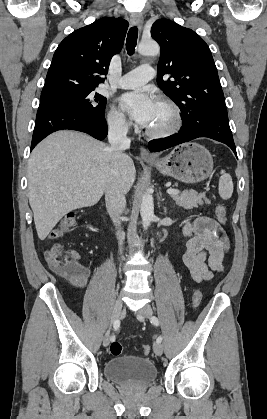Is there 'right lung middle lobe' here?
<instances>
[{"label":"right lung middle lobe","mask_w":267,"mask_h":419,"mask_svg":"<svg viewBox=\"0 0 267 419\" xmlns=\"http://www.w3.org/2000/svg\"><path fill=\"white\" fill-rule=\"evenodd\" d=\"M94 89L67 87L41 93L40 100L49 99L56 101L77 110L87 117L102 118L107 100L99 93H96Z\"/></svg>","instance_id":"dd1d6c3e"}]
</instances>
